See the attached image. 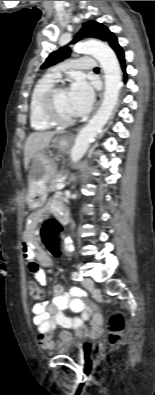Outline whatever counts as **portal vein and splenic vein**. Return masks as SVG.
Instances as JSON below:
<instances>
[{
	"label": "portal vein and splenic vein",
	"instance_id": "1",
	"mask_svg": "<svg viewBox=\"0 0 155 395\" xmlns=\"http://www.w3.org/2000/svg\"><path fill=\"white\" fill-rule=\"evenodd\" d=\"M56 189H62V188H64L65 187V183H64V181L63 180H60L59 182H58V184H56Z\"/></svg>",
	"mask_w": 155,
	"mask_h": 395
}]
</instances>
